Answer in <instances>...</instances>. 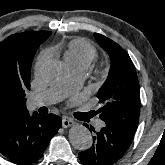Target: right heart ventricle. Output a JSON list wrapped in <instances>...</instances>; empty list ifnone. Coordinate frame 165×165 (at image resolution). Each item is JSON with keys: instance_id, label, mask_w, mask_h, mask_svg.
Returning a JSON list of instances; mask_svg holds the SVG:
<instances>
[{"instance_id": "obj_1", "label": "right heart ventricle", "mask_w": 165, "mask_h": 165, "mask_svg": "<svg viewBox=\"0 0 165 165\" xmlns=\"http://www.w3.org/2000/svg\"><path fill=\"white\" fill-rule=\"evenodd\" d=\"M62 50L65 62L72 68L87 69L98 55L97 49L83 38L69 41Z\"/></svg>"}]
</instances>
